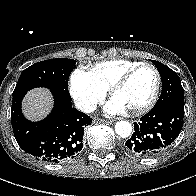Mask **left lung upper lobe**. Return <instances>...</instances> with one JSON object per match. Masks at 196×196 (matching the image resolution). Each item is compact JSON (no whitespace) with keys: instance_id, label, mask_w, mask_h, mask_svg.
Returning a JSON list of instances; mask_svg holds the SVG:
<instances>
[{"instance_id":"5c2ea615","label":"left lung upper lobe","mask_w":196,"mask_h":196,"mask_svg":"<svg viewBox=\"0 0 196 196\" xmlns=\"http://www.w3.org/2000/svg\"><path fill=\"white\" fill-rule=\"evenodd\" d=\"M152 62L157 67L162 80V93L154 107L165 104L184 106V89L178 75L166 65L154 60Z\"/></svg>"}]
</instances>
